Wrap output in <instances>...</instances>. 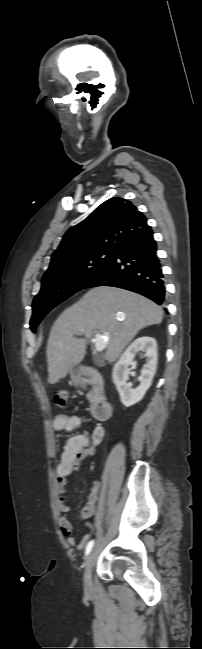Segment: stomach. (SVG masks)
<instances>
[{"label": "stomach", "mask_w": 202, "mask_h": 649, "mask_svg": "<svg viewBox=\"0 0 202 649\" xmlns=\"http://www.w3.org/2000/svg\"><path fill=\"white\" fill-rule=\"evenodd\" d=\"M69 373H70V377H71L72 381L74 383H78V379H77V376H76L77 368L75 366H73L72 368H70Z\"/></svg>", "instance_id": "1"}]
</instances>
